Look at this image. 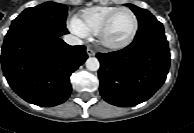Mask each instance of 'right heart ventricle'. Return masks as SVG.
I'll use <instances>...</instances> for the list:
<instances>
[{
    "label": "right heart ventricle",
    "mask_w": 194,
    "mask_h": 133,
    "mask_svg": "<svg viewBox=\"0 0 194 133\" xmlns=\"http://www.w3.org/2000/svg\"><path fill=\"white\" fill-rule=\"evenodd\" d=\"M118 7H94L82 12L79 16L81 23L90 31L97 33L106 19L115 12Z\"/></svg>",
    "instance_id": "right-heart-ventricle-1"
}]
</instances>
